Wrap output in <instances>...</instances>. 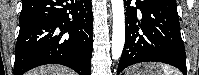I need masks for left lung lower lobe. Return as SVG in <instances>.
I'll return each instance as SVG.
<instances>
[{
  "label": "left lung lower lobe",
  "instance_id": "1",
  "mask_svg": "<svg viewBox=\"0 0 199 75\" xmlns=\"http://www.w3.org/2000/svg\"><path fill=\"white\" fill-rule=\"evenodd\" d=\"M126 37L117 73L140 62H163L187 75L185 47L181 38L176 0H136L142 13L124 0Z\"/></svg>",
  "mask_w": 199,
  "mask_h": 75
}]
</instances>
